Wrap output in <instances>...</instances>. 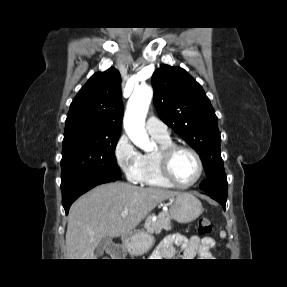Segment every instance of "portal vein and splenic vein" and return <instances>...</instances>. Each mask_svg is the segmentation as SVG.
I'll return each instance as SVG.
<instances>
[{
	"label": "portal vein and splenic vein",
	"instance_id": "18ae733b",
	"mask_svg": "<svg viewBox=\"0 0 287 287\" xmlns=\"http://www.w3.org/2000/svg\"><path fill=\"white\" fill-rule=\"evenodd\" d=\"M127 215H128V209L123 210L122 213H121V216L125 217Z\"/></svg>",
	"mask_w": 287,
	"mask_h": 287
}]
</instances>
